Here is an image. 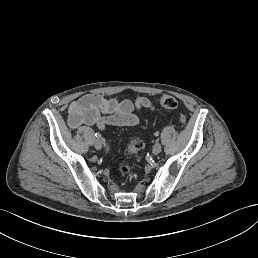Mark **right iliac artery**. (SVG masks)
Masks as SVG:
<instances>
[{
    "label": "right iliac artery",
    "instance_id": "82829eb1",
    "mask_svg": "<svg viewBox=\"0 0 258 258\" xmlns=\"http://www.w3.org/2000/svg\"><path fill=\"white\" fill-rule=\"evenodd\" d=\"M95 136H96L97 138H101V134L98 133V132L95 133Z\"/></svg>",
    "mask_w": 258,
    "mask_h": 258
}]
</instances>
